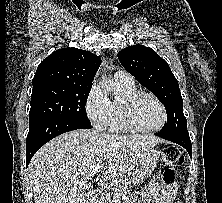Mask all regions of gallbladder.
<instances>
[{"label":"gallbladder","instance_id":"bac80fb5","mask_svg":"<svg viewBox=\"0 0 222 203\" xmlns=\"http://www.w3.org/2000/svg\"><path fill=\"white\" fill-rule=\"evenodd\" d=\"M84 203H88L87 200H86V198H85V202H84Z\"/></svg>","mask_w":222,"mask_h":203}]
</instances>
